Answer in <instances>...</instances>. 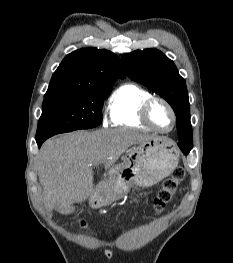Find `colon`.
<instances>
[{"label":"colon","mask_w":233,"mask_h":263,"mask_svg":"<svg viewBox=\"0 0 233 263\" xmlns=\"http://www.w3.org/2000/svg\"><path fill=\"white\" fill-rule=\"evenodd\" d=\"M185 176L184 169L177 167L172 175L164 180L161 189L154 200L153 209L156 213L162 212L166 206L172 201L174 194L177 192L180 183ZM83 228H87L86 223L81 222Z\"/></svg>","instance_id":"5ec220e1"}]
</instances>
